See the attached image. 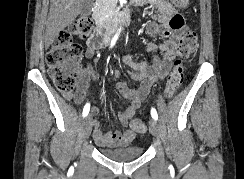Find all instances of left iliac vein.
I'll list each match as a JSON object with an SVG mask.
<instances>
[{
	"instance_id": "obj_1",
	"label": "left iliac vein",
	"mask_w": 244,
	"mask_h": 179,
	"mask_svg": "<svg viewBox=\"0 0 244 179\" xmlns=\"http://www.w3.org/2000/svg\"><path fill=\"white\" fill-rule=\"evenodd\" d=\"M149 129H150L151 134L155 138H157V139L160 138V127H159L158 122L155 119H151L149 121Z\"/></svg>"
}]
</instances>
